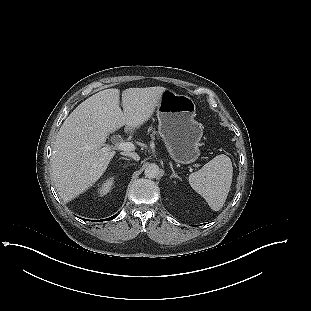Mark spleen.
Listing matches in <instances>:
<instances>
[{
    "label": "spleen",
    "mask_w": 311,
    "mask_h": 311,
    "mask_svg": "<svg viewBox=\"0 0 311 311\" xmlns=\"http://www.w3.org/2000/svg\"><path fill=\"white\" fill-rule=\"evenodd\" d=\"M233 167L231 159L220 154L206 163L199 171L191 173L190 186L200 194L212 210H220L229 193Z\"/></svg>",
    "instance_id": "3e777b00"
}]
</instances>
